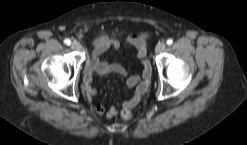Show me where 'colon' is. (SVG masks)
Here are the masks:
<instances>
[{"label": "colon", "instance_id": "5ec220e1", "mask_svg": "<svg viewBox=\"0 0 247 145\" xmlns=\"http://www.w3.org/2000/svg\"><path fill=\"white\" fill-rule=\"evenodd\" d=\"M120 117L124 120H130L133 118V112L130 109L123 108L120 111Z\"/></svg>", "mask_w": 247, "mask_h": 145}]
</instances>
